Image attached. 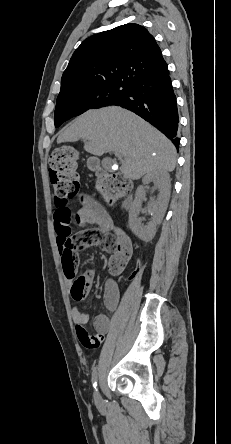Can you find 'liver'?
Segmentation results:
<instances>
[{
	"mask_svg": "<svg viewBox=\"0 0 231 444\" xmlns=\"http://www.w3.org/2000/svg\"><path fill=\"white\" fill-rule=\"evenodd\" d=\"M87 140L84 149L95 156L118 152L120 171L139 179L153 171H173L176 149L161 132L136 114L117 106L89 110L59 133L57 143Z\"/></svg>",
	"mask_w": 231,
	"mask_h": 444,
	"instance_id": "obj_1",
	"label": "liver"
}]
</instances>
